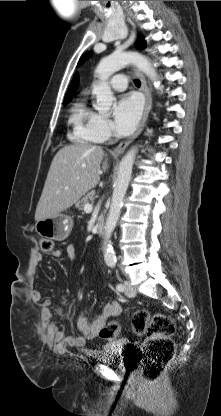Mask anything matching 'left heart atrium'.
Segmentation results:
<instances>
[{"label":"left heart atrium","instance_id":"39dd6f15","mask_svg":"<svg viewBox=\"0 0 221 416\" xmlns=\"http://www.w3.org/2000/svg\"><path fill=\"white\" fill-rule=\"evenodd\" d=\"M142 102L136 94L123 95L114 107L115 128L120 134L132 132L141 117Z\"/></svg>","mask_w":221,"mask_h":416}]
</instances>
